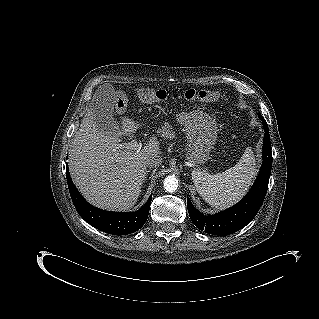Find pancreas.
<instances>
[{
  "label": "pancreas",
  "instance_id": "pancreas-1",
  "mask_svg": "<svg viewBox=\"0 0 319 319\" xmlns=\"http://www.w3.org/2000/svg\"><path fill=\"white\" fill-rule=\"evenodd\" d=\"M158 132L161 136L169 139H172L175 136V132H173L172 126L169 124H165L164 126H162V129H159Z\"/></svg>",
  "mask_w": 319,
  "mask_h": 319
}]
</instances>
